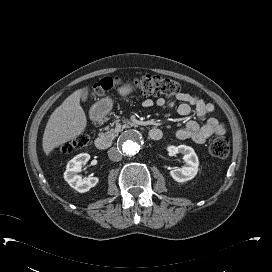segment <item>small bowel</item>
Listing matches in <instances>:
<instances>
[{
    "label": "small bowel",
    "mask_w": 272,
    "mask_h": 272,
    "mask_svg": "<svg viewBox=\"0 0 272 272\" xmlns=\"http://www.w3.org/2000/svg\"><path fill=\"white\" fill-rule=\"evenodd\" d=\"M176 100L180 102L177 107V112L181 116H188L192 107L195 109L197 116L205 118L203 125L197 121L189 120L185 126L175 131L174 136L179 140L191 139L197 143H204L212 135L222 136L227 133V126L210 115L214 112V105L206 102L197 95L190 93H178ZM156 104L159 107H173L174 102H168L163 98L156 101L146 99L143 101V106L148 108Z\"/></svg>",
    "instance_id": "small-bowel-1"
}]
</instances>
